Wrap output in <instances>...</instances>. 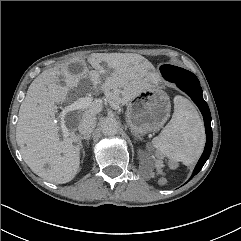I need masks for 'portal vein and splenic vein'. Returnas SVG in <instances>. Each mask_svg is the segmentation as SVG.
I'll return each mask as SVG.
<instances>
[{
    "mask_svg": "<svg viewBox=\"0 0 241 241\" xmlns=\"http://www.w3.org/2000/svg\"><path fill=\"white\" fill-rule=\"evenodd\" d=\"M93 101L92 98L90 97H84V98H79L78 100H76L73 104L67 106L63 112H69V111H73V110H78V109H85V108H89L93 105ZM65 136H68V134L66 133V131L64 130Z\"/></svg>",
    "mask_w": 241,
    "mask_h": 241,
    "instance_id": "portal-vein-and-splenic-vein-1",
    "label": "portal vein and splenic vein"
}]
</instances>
